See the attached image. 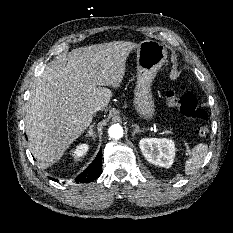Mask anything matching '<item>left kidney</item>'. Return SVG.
Segmentation results:
<instances>
[{"instance_id":"5707ae66","label":"left kidney","mask_w":233,"mask_h":233,"mask_svg":"<svg viewBox=\"0 0 233 233\" xmlns=\"http://www.w3.org/2000/svg\"><path fill=\"white\" fill-rule=\"evenodd\" d=\"M140 149L146 160L154 165L169 168L175 157V144L166 138H143L139 142Z\"/></svg>"}]
</instances>
